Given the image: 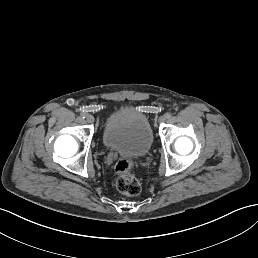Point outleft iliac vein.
Here are the masks:
<instances>
[{
	"instance_id": "1",
	"label": "left iliac vein",
	"mask_w": 258,
	"mask_h": 258,
	"mask_svg": "<svg viewBox=\"0 0 258 258\" xmlns=\"http://www.w3.org/2000/svg\"><path fill=\"white\" fill-rule=\"evenodd\" d=\"M160 122H165L166 123V118H165V116H160V118H159V123Z\"/></svg>"
}]
</instances>
